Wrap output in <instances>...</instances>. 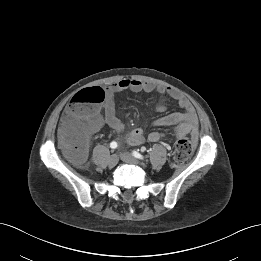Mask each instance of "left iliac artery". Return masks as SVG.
<instances>
[{"label":"left iliac artery","mask_w":261,"mask_h":261,"mask_svg":"<svg viewBox=\"0 0 261 261\" xmlns=\"http://www.w3.org/2000/svg\"><path fill=\"white\" fill-rule=\"evenodd\" d=\"M133 156L134 157H136V158H138V159H141V160H143L144 159V157H143V155H141L139 152H137V151H133Z\"/></svg>","instance_id":"1"}]
</instances>
